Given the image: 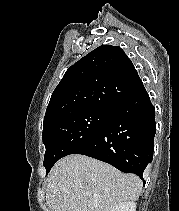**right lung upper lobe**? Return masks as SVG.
<instances>
[{"label":"right lung upper lobe","instance_id":"1","mask_svg":"<svg viewBox=\"0 0 179 211\" xmlns=\"http://www.w3.org/2000/svg\"><path fill=\"white\" fill-rule=\"evenodd\" d=\"M142 85L125 52L118 46L102 45L66 71L52 93L44 126L85 109H113Z\"/></svg>","mask_w":179,"mask_h":211}]
</instances>
